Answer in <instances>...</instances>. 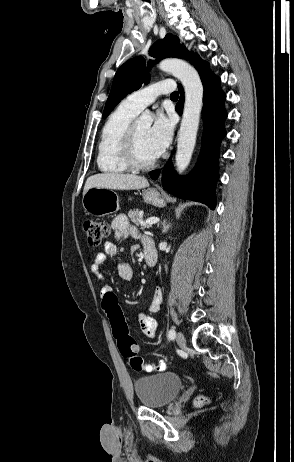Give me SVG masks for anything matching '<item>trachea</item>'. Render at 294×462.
<instances>
[{
  "instance_id": "trachea-1",
  "label": "trachea",
  "mask_w": 294,
  "mask_h": 462,
  "mask_svg": "<svg viewBox=\"0 0 294 462\" xmlns=\"http://www.w3.org/2000/svg\"><path fill=\"white\" fill-rule=\"evenodd\" d=\"M178 96H179L178 92H173V93L170 95L171 98H178Z\"/></svg>"
}]
</instances>
